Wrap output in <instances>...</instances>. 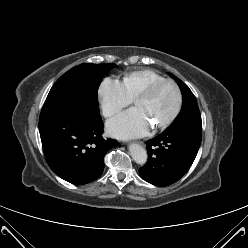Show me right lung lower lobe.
<instances>
[{
  "mask_svg": "<svg viewBox=\"0 0 248 248\" xmlns=\"http://www.w3.org/2000/svg\"><path fill=\"white\" fill-rule=\"evenodd\" d=\"M39 132L50 168L77 185L100 177L105 154L118 145L116 140L103 138L99 108L89 105L39 120Z\"/></svg>",
  "mask_w": 248,
  "mask_h": 248,
  "instance_id": "obj_1",
  "label": "right lung lower lobe"
}]
</instances>
